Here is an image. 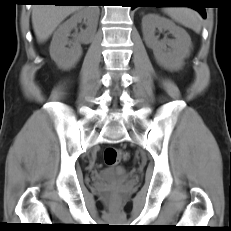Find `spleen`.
<instances>
[{
  "mask_svg": "<svg viewBox=\"0 0 231 231\" xmlns=\"http://www.w3.org/2000/svg\"><path fill=\"white\" fill-rule=\"evenodd\" d=\"M164 12L174 21L199 33L202 28V19L200 15L187 7H168Z\"/></svg>",
  "mask_w": 231,
  "mask_h": 231,
  "instance_id": "obj_1",
  "label": "spleen"
}]
</instances>
